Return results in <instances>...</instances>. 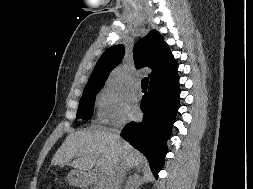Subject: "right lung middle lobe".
I'll list each match as a JSON object with an SVG mask.
<instances>
[{
  "mask_svg": "<svg viewBox=\"0 0 253 189\" xmlns=\"http://www.w3.org/2000/svg\"><path fill=\"white\" fill-rule=\"evenodd\" d=\"M99 89L86 90L79 101V107L77 111V119L89 120L93 114V107L95 102V96L99 93Z\"/></svg>",
  "mask_w": 253,
  "mask_h": 189,
  "instance_id": "dd1d6c3e",
  "label": "right lung middle lobe"
}]
</instances>
